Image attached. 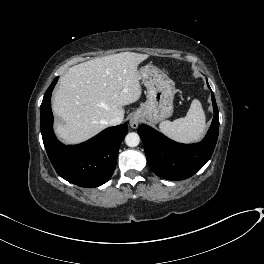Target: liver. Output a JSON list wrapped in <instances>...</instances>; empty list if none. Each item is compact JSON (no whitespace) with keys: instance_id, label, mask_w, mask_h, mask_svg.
<instances>
[{"instance_id":"6515ba94","label":"liver","mask_w":264,"mask_h":264,"mask_svg":"<svg viewBox=\"0 0 264 264\" xmlns=\"http://www.w3.org/2000/svg\"><path fill=\"white\" fill-rule=\"evenodd\" d=\"M148 57L122 52L69 68L52 101L54 113L62 119L55 124L57 137L77 144L105 129L110 119L124 117V106L141 96L138 65Z\"/></svg>"}]
</instances>
